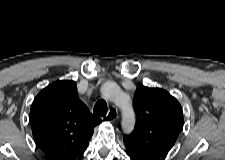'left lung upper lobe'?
<instances>
[{"label": "left lung upper lobe", "mask_w": 225, "mask_h": 160, "mask_svg": "<svg viewBox=\"0 0 225 160\" xmlns=\"http://www.w3.org/2000/svg\"><path fill=\"white\" fill-rule=\"evenodd\" d=\"M136 124L124 135L126 149L143 160H160L167 156L183 126L179 102L160 88H138L134 96Z\"/></svg>", "instance_id": "1"}]
</instances>
